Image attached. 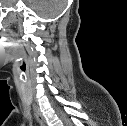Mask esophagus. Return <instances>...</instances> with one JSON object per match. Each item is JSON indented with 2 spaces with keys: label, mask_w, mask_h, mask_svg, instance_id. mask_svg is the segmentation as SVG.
Returning <instances> with one entry per match:
<instances>
[{
  "label": "esophagus",
  "mask_w": 127,
  "mask_h": 126,
  "mask_svg": "<svg viewBox=\"0 0 127 126\" xmlns=\"http://www.w3.org/2000/svg\"><path fill=\"white\" fill-rule=\"evenodd\" d=\"M33 109H34V113L37 118V121L40 123V125L46 126L47 125L46 120H45L43 114L38 109V107L36 105H33Z\"/></svg>",
  "instance_id": "1"
}]
</instances>
